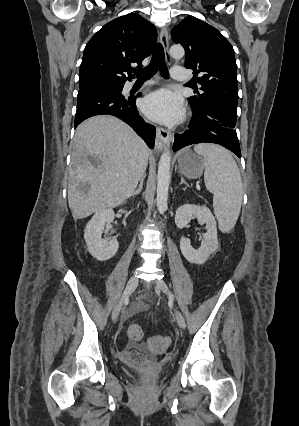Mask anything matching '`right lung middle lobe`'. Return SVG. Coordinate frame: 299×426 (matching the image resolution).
I'll return each instance as SVG.
<instances>
[{
	"label": "right lung middle lobe",
	"mask_w": 299,
	"mask_h": 426,
	"mask_svg": "<svg viewBox=\"0 0 299 426\" xmlns=\"http://www.w3.org/2000/svg\"><path fill=\"white\" fill-rule=\"evenodd\" d=\"M124 85H103V86H95V87H102V88H110L114 90H121L123 89Z\"/></svg>",
	"instance_id": "obj_1"
}]
</instances>
